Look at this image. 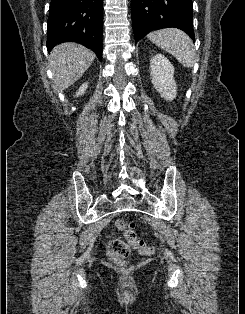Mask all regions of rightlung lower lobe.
<instances>
[{"instance_id": "obj_1", "label": "right lung lower lobe", "mask_w": 245, "mask_h": 314, "mask_svg": "<svg viewBox=\"0 0 245 314\" xmlns=\"http://www.w3.org/2000/svg\"><path fill=\"white\" fill-rule=\"evenodd\" d=\"M103 0H51L47 49L61 42L80 43L102 59Z\"/></svg>"}]
</instances>
